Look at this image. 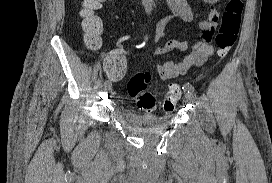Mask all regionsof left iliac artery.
Segmentation results:
<instances>
[{
  "mask_svg": "<svg viewBox=\"0 0 272 183\" xmlns=\"http://www.w3.org/2000/svg\"><path fill=\"white\" fill-rule=\"evenodd\" d=\"M183 89H184L185 91H187L188 94L194 93V91H195L194 87L191 86V85H189V84H185L184 87H183Z\"/></svg>",
  "mask_w": 272,
  "mask_h": 183,
  "instance_id": "1",
  "label": "left iliac artery"
}]
</instances>
